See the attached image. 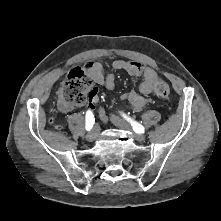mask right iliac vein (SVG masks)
I'll return each mask as SVG.
<instances>
[{
    "instance_id": "right-iliac-vein-1",
    "label": "right iliac vein",
    "mask_w": 221,
    "mask_h": 221,
    "mask_svg": "<svg viewBox=\"0 0 221 221\" xmlns=\"http://www.w3.org/2000/svg\"><path fill=\"white\" fill-rule=\"evenodd\" d=\"M98 133H99V127L96 125L93 128V130L89 134H87L86 136L87 141L93 142L97 138Z\"/></svg>"
}]
</instances>
